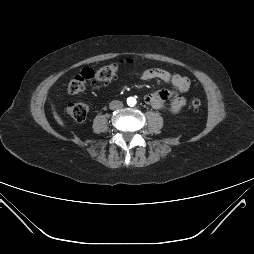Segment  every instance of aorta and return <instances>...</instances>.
<instances>
[{
  "label": "aorta",
  "mask_w": 254,
  "mask_h": 254,
  "mask_svg": "<svg viewBox=\"0 0 254 254\" xmlns=\"http://www.w3.org/2000/svg\"><path fill=\"white\" fill-rule=\"evenodd\" d=\"M136 103H137V101H136V99L134 97H128L127 98V104H128V106L133 107V106L136 105Z\"/></svg>",
  "instance_id": "762f6f07"
}]
</instances>
